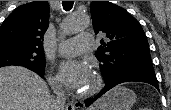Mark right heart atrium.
I'll list each match as a JSON object with an SVG mask.
<instances>
[{"label": "right heart atrium", "mask_w": 171, "mask_h": 110, "mask_svg": "<svg viewBox=\"0 0 171 110\" xmlns=\"http://www.w3.org/2000/svg\"><path fill=\"white\" fill-rule=\"evenodd\" d=\"M49 83L55 91H61V83L58 77L54 75L49 76Z\"/></svg>", "instance_id": "obj_1"}]
</instances>
